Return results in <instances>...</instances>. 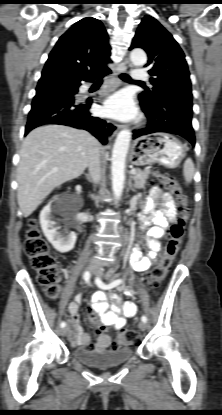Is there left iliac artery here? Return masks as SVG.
I'll return each mask as SVG.
<instances>
[{
    "instance_id": "left-iliac-artery-1",
    "label": "left iliac artery",
    "mask_w": 222,
    "mask_h": 415,
    "mask_svg": "<svg viewBox=\"0 0 222 415\" xmlns=\"http://www.w3.org/2000/svg\"><path fill=\"white\" fill-rule=\"evenodd\" d=\"M111 273H112V271H110V272L108 273V276H110V275H111ZM120 283H121V280H120V279L114 280V281H112V282H111V283H109V284H105V283H103L100 279H96V284H97L99 287L103 288V289H112V288L116 287L117 285H119ZM141 320H142L143 322H147V317L143 315V316L141 317Z\"/></svg>"
}]
</instances>
